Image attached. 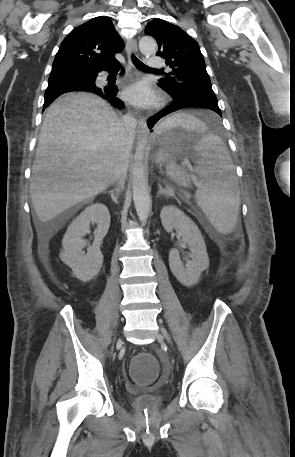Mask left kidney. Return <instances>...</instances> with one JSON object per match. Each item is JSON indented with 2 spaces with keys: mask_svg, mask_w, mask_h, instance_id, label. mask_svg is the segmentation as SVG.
I'll list each match as a JSON object with an SVG mask.
<instances>
[{
  "mask_svg": "<svg viewBox=\"0 0 295 457\" xmlns=\"http://www.w3.org/2000/svg\"><path fill=\"white\" fill-rule=\"evenodd\" d=\"M160 217L164 229L167 232L179 229L182 242L190 248L192 260L186 268L177 249H172L169 253V266L181 284L191 287L198 283L201 273L209 267L204 238L197 225L176 206L163 207Z\"/></svg>",
  "mask_w": 295,
  "mask_h": 457,
  "instance_id": "1",
  "label": "left kidney"
}]
</instances>
